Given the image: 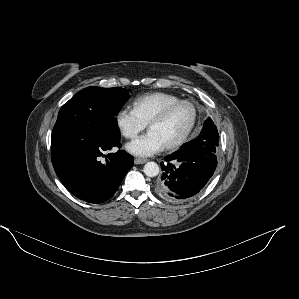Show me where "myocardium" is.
<instances>
[{
  "instance_id": "1",
  "label": "myocardium",
  "mask_w": 299,
  "mask_h": 299,
  "mask_svg": "<svg viewBox=\"0 0 299 299\" xmlns=\"http://www.w3.org/2000/svg\"><path fill=\"white\" fill-rule=\"evenodd\" d=\"M181 105L191 106V108L193 110V118H192V121H191L190 125L188 126V128L184 131V133L178 139H176L175 141L164 146V148L167 150H172V149L180 147L189 138V136L191 135V133L193 132V130L197 124V120H198V116H199V111H198L197 105L191 100L176 101L174 103H171V104L165 106L148 123V128L150 130V128L153 125L164 121L173 110H175L176 108H178Z\"/></svg>"
}]
</instances>
